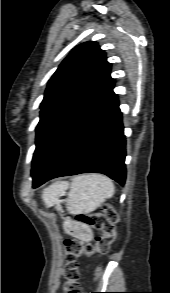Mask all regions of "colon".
<instances>
[{"label":"colon","mask_w":170,"mask_h":293,"mask_svg":"<svg viewBox=\"0 0 170 293\" xmlns=\"http://www.w3.org/2000/svg\"><path fill=\"white\" fill-rule=\"evenodd\" d=\"M81 223L92 225L102 231L101 236L97 237L93 244H83L76 240H66L64 242L65 265L63 275L65 279V293H82L80 291L78 280L80 274L78 271L77 260L81 257H91L94 254H105L109 250L111 243L117 236V223L119 216L111 205H105L103 210L92 215H81ZM97 277L100 270L96 272Z\"/></svg>","instance_id":"5ec220e1"}]
</instances>
